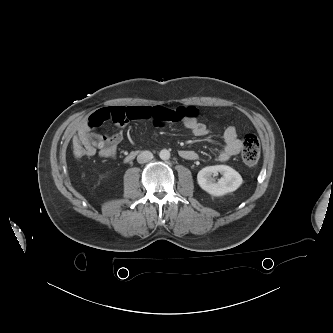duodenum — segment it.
<instances>
[{
    "mask_svg": "<svg viewBox=\"0 0 333 333\" xmlns=\"http://www.w3.org/2000/svg\"><path fill=\"white\" fill-rule=\"evenodd\" d=\"M139 152L138 151H132L126 158H125V161L126 162H130L132 161L138 154Z\"/></svg>",
    "mask_w": 333,
    "mask_h": 333,
    "instance_id": "obj_1",
    "label": "duodenum"
}]
</instances>
